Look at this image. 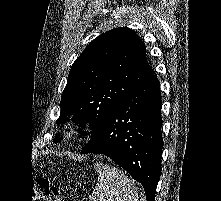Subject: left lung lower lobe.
<instances>
[{
    "label": "left lung lower lobe",
    "mask_w": 221,
    "mask_h": 201,
    "mask_svg": "<svg viewBox=\"0 0 221 201\" xmlns=\"http://www.w3.org/2000/svg\"><path fill=\"white\" fill-rule=\"evenodd\" d=\"M161 127L160 84L153 74L117 103L81 154L110 157L143 185L146 200L154 201L161 173Z\"/></svg>",
    "instance_id": "0a47b994"
}]
</instances>
